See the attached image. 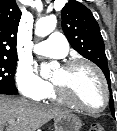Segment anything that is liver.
Instances as JSON below:
<instances>
[{"instance_id": "obj_1", "label": "liver", "mask_w": 117, "mask_h": 131, "mask_svg": "<svg viewBox=\"0 0 117 131\" xmlns=\"http://www.w3.org/2000/svg\"><path fill=\"white\" fill-rule=\"evenodd\" d=\"M69 113L66 110L43 106L24 99L0 95V131L9 121L8 131H35L51 119Z\"/></svg>"}]
</instances>
